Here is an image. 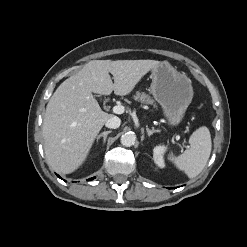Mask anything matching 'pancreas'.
I'll use <instances>...</instances> for the list:
<instances>
[{
    "label": "pancreas",
    "mask_w": 247,
    "mask_h": 247,
    "mask_svg": "<svg viewBox=\"0 0 247 247\" xmlns=\"http://www.w3.org/2000/svg\"><path fill=\"white\" fill-rule=\"evenodd\" d=\"M134 99L140 101L141 103H146V104L154 103V101L150 98V96L145 93L137 92L136 95L134 96Z\"/></svg>",
    "instance_id": "pancreas-1"
}]
</instances>
